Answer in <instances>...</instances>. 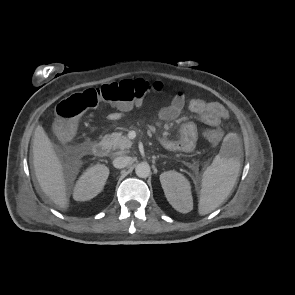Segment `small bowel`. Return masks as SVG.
Here are the masks:
<instances>
[{
    "instance_id": "small-bowel-1",
    "label": "small bowel",
    "mask_w": 295,
    "mask_h": 295,
    "mask_svg": "<svg viewBox=\"0 0 295 295\" xmlns=\"http://www.w3.org/2000/svg\"><path fill=\"white\" fill-rule=\"evenodd\" d=\"M186 100L184 94L177 90L171 103L163 107L158 112V120L160 122L173 121L179 118L184 110ZM191 112L197 114L200 120L209 126H218L223 120L229 116L226 108L218 102L205 101L199 98H191L188 103ZM130 109H120L110 113L107 118L116 121L124 117L125 113ZM197 128L193 122L185 123L180 130V136L177 139L162 138V145L171 151L191 152L196 145Z\"/></svg>"
}]
</instances>
